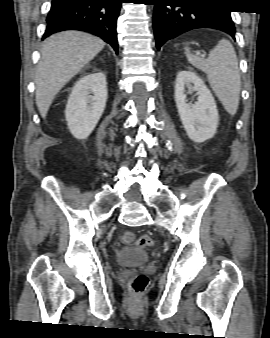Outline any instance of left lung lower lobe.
<instances>
[{
    "label": "left lung lower lobe",
    "mask_w": 270,
    "mask_h": 338,
    "mask_svg": "<svg viewBox=\"0 0 270 338\" xmlns=\"http://www.w3.org/2000/svg\"><path fill=\"white\" fill-rule=\"evenodd\" d=\"M151 2L155 5L153 27L158 50L167 40L198 28L221 30L235 39L231 11L225 9L222 0H151Z\"/></svg>",
    "instance_id": "0a47b994"
}]
</instances>
